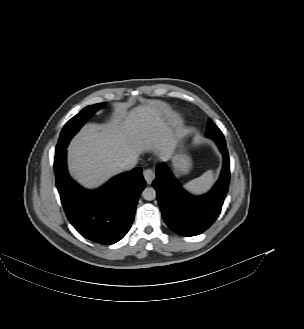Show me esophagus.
<instances>
[{"instance_id": "obj_1", "label": "esophagus", "mask_w": 304, "mask_h": 329, "mask_svg": "<svg viewBox=\"0 0 304 329\" xmlns=\"http://www.w3.org/2000/svg\"><path fill=\"white\" fill-rule=\"evenodd\" d=\"M143 176L147 184H151L155 178V173L152 169L148 168L143 171Z\"/></svg>"}]
</instances>
